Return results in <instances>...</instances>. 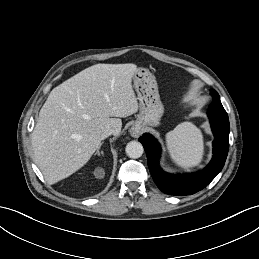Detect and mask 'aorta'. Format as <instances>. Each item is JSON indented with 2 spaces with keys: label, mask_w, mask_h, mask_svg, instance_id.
I'll list each match as a JSON object with an SVG mask.
<instances>
[{
  "label": "aorta",
  "mask_w": 259,
  "mask_h": 259,
  "mask_svg": "<svg viewBox=\"0 0 259 259\" xmlns=\"http://www.w3.org/2000/svg\"><path fill=\"white\" fill-rule=\"evenodd\" d=\"M125 151L128 157L136 159L142 156L144 149L140 142L131 141L126 145Z\"/></svg>",
  "instance_id": "aorta-1"
}]
</instances>
